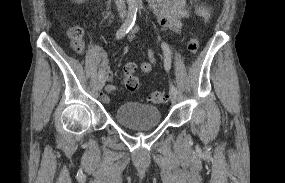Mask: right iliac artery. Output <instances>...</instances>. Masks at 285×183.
Wrapping results in <instances>:
<instances>
[{"label": "right iliac artery", "mask_w": 285, "mask_h": 183, "mask_svg": "<svg viewBox=\"0 0 285 183\" xmlns=\"http://www.w3.org/2000/svg\"><path fill=\"white\" fill-rule=\"evenodd\" d=\"M136 11H137L136 9L129 10L127 20L116 33L117 39L123 38L129 32V30L133 27L135 20H136ZM103 76H104L103 72L99 70L98 77L102 78Z\"/></svg>", "instance_id": "right-iliac-artery-1"}]
</instances>
